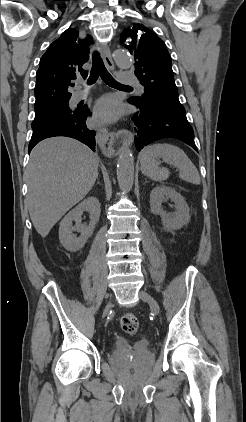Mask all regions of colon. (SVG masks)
<instances>
[{
  "label": "colon",
  "mask_w": 246,
  "mask_h": 422,
  "mask_svg": "<svg viewBox=\"0 0 246 422\" xmlns=\"http://www.w3.org/2000/svg\"><path fill=\"white\" fill-rule=\"evenodd\" d=\"M121 329L130 335L135 334L139 328V321L133 314H125L120 319Z\"/></svg>",
  "instance_id": "1"
}]
</instances>
